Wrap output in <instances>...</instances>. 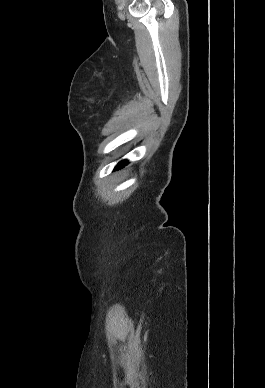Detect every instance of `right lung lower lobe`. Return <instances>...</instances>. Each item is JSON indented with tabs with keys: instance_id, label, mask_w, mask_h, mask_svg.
<instances>
[{
	"instance_id": "right-lung-lower-lobe-1",
	"label": "right lung lower lobe",
	"mask_w": 265,
	"mask_h": 388,
	"mask_svg": "<svg viewBox=\"0 0 265 388\" xmlns=\"http://www.w3.org/2000/svg\"><path fill=\"white\" fill-rule=\"evenodd\" d=\"M127 163H128V161H122V162H120V163L116 166L115 170H119V169L123 168Z\"/></svg>"
}]
</instances>
